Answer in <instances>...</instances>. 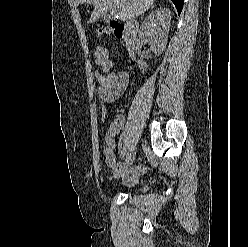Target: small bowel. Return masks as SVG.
I'll return each mask as SVG.
<instances>
[{"mask_svg":"<svg viewBox=\"0 0 248 247\" xmlns=\"http://www.w3.org/2000/svg\"><path fill=\"white\" fill-rule=\"evenodd\" d=\"M98 65L101 66L99 63ZM109 67L110 69L112 67L111 61H109ZM95 77L98 82V94L102 102L101 117L104 121L107 112L103 103H111L119 99L128 86L129 77L124 71H110L106 76H104L101 74L99 69L95 71ZM124 121L122 115L117 116L105 132L106 144L104 147V153L106 164L112 170L115 177L119 176L124 171V165L116 159L114 142V136L122 132L124 128ZM146 170L147 168L144 165L134 167L127 171L125 180L127 182H133L138 176L145 173Z\"/></svg>","mask_w":248,"mask_h":247,"instance_id":"c3829d8e","label":"small bowel"}]
</instances>
